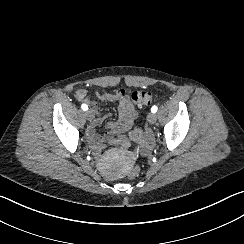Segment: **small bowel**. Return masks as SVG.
I'll list each match as a JSON object with an SVG mask.
<instances>
[{
    "label": "small bowel",
    "instance_id": "obj_1",
    "mask_svg": "<svg viewBox=\"0 0 244 244\" xmlns=\"http://www.w3.org/2000/svg\"><path fill=\"white\" fill-rule=\"evenodd\" d=\"M98 99L104 103L108 102H118L119 104V118L114 121L107 123V133L102 135L95 134L96 126L100 125L105 116L98 112L95 102L91 101L89 98L88 91L83 88H79L75 91L74 97L78 102L88 103L91 113L94 115V121L90 126L89 133L91 137L96 139L98 142H103L105 140H112V137L116 133H126L131 130L134 121L136 119V111L129 97H118L115 94L106 93V92H95ZM125 137V136H124ZM132 137L135 141L140 143V147L143 151L147 150L150 146L153 145L154 140L152 137H144L139 130H135L132 134ZM113 141V140H112Z\"/></svg>",
    "mask_w": 244,
    "mask_h": 244
}]
</instances>
